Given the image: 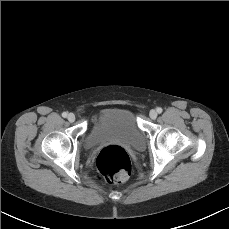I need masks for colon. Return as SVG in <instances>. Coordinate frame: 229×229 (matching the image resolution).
Segmentation results:
<instances>
[{
	"label": "colon",
	"instance_id": "1",
	"mask_svg": "<svg viewBox=\"0 0 229 229\" xmlns=\"http://www.w3.org/2000/svg\"><path fill=\"white\" fill-rule=\"evenodd\" d=\"M96 165L99 175L111 182H123L131 171V160L118 145L104 147L98 154Z\"/></svg>",
	"mask_w": 229,
	"mask_h": 229
}]
</instances>
